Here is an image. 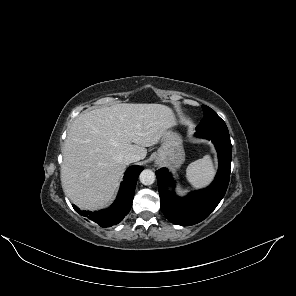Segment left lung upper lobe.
<instances>
[{
    "mask_svg": "<svg viewBox=\"0 0 296 296\" xmlns=\"http://www.w3.org/2000/svg\"><path fill=\"white\" fill-rule=\"evenodd\" d=\"M204 111V118L196 127L197 130L206 129H227L225 122L215 113L214 110L206 105H202Z\"/></svg>",
    "mask_w": 296,
    "mask_h": 296,
    "instance_id": "1",
    "label": "left lung upper lobe"
}]
</instances>
